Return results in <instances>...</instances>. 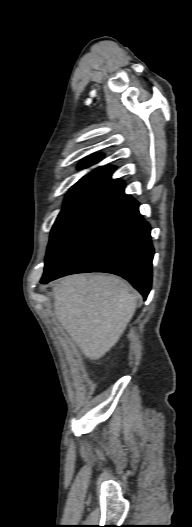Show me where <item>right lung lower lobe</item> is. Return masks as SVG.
<instances>
[{"mask_svg": "<svg viewBox=\"0 0 192 527\" xmlns=\"http://www.w3.org/2000/svg\"><path fill=\"white\" fill-rule=\"evenodd\" d=\"M154 249L150 226L121 180L107 182L46 255L42 284L83 272H107L128 280L147 298Z\"/></svg>", "mask_w": 192, "mask_h": 527, "instance_id": "98d812e1", "label": "right lung lower lobe"}]
</instances>
